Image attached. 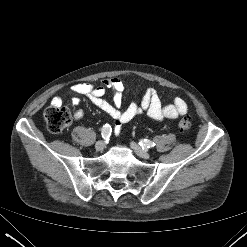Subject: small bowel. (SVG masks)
<instances>
[{
  "instance_id": "obj_1",
  "label": "small bowel",
  "mask_w": 247,
  "mask_h": 247,
  "mask_svg": "<svg viewBox=\"0 0 247 247\" xmlns=\"http://www.w3.org/2000/svg\"><path fill=\"white\" fill-rule=\"evenodd\" d=\"M71 90L77 95L86 96L96 107L113 118L118 125L126 124L143 113H147L150 118L160 122L165 119H176L188 112L187 104L182 98L177 97L172 103L164 105L157 91L153 88H148L145 91L140 102H132L125 109H122L124 85L118 78L104 79L98 85L79 82L74 84ZM106 90L113 91V104L103 98ZM79 101V98L75 96L71 98L70 104L77 106ZM61 103L59 97L52 100V105H61ZM75 115L79 119L83 116V112L78 110Z\"/></svg>"
}]
</instances>
